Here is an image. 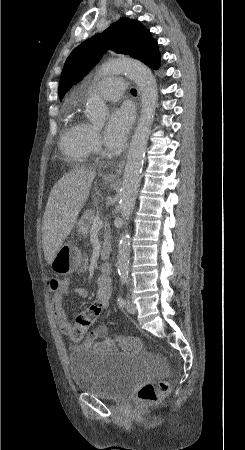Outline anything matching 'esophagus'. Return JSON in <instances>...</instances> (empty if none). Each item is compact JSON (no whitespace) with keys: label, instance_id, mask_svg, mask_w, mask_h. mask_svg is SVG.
<instances>
[{"label":"esophagus","instance_id":"1","mask_svg":"<svg viewBox=\"0 0 245 450\" xmlns=\"http://www.w3.org/2000/svg\"><path fill=\"white\" fill-rule=\"evenodd\" d=\"M124 160H122L113 170L110 172L104 174L103 178L105 180H116L120 177L122 174L123 168H124Z\"/></svg>","mask_w":245,"mask_h":450}]
</instances>
